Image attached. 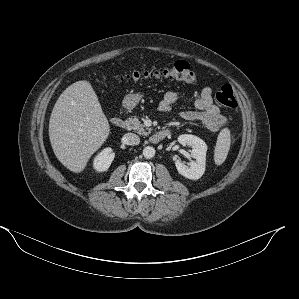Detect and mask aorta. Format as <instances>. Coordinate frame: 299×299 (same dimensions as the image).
<instances>
[{
    "label": "aorta",
    "instance_id": "1",
    "mask_svg": "<svg viewBox=\"0 0 299 299\" xmlns=\"http://www.w3.org/2000/svg\"><path fill=\"white\" fill-rule=\"evenodd\" d=\"M155 149L152 146H146L143 149V156L147 159L153 158L155 156Z\"/></svg>",
    "mask_w": 299,
    "mask_h": 299
}]
</instances>
